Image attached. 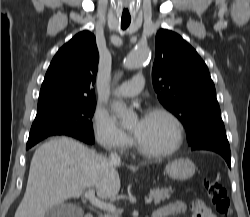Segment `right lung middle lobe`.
<instances>
[{"label": "right lung middle lobe", "mask_w": 250, "mask_h": 217, "mask_svg": "<svg viewBox=\"0 0 250 217\" xmlns=\"http://www.w3.org/2000/svg\"><path fill=\"white\" fill-rule=\"evenodd\" d=\"M95 101H83L37 111L26 149L52 135H67L86 143H94L91 118Z\"/></svg>", "instance_id": "1"}]
</instances>
